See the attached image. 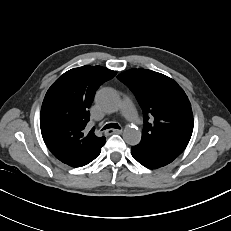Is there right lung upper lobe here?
Returning a JSON list of instances; mask_svg holds the SVG:
<instances>
[{
  "label": "right lung upper lobe",
  "mask_w": 231,
  "mask_h": 231,
  "mask_svg": "<svg viewBox=\"0 0 231 231\" xmlns=\"http://www.w3.org/2000/svg\"><path fill=\"white\" fill-rule=\"evenodd\" d=\"M115 75L116 71L86 65L65 72L47 91L40 113L41 133L61 162L81 167L100 153L106 138L85 129L88 109L98 87Z\"/></svg>",
  "instance_id": "1"
}]
</instances>
